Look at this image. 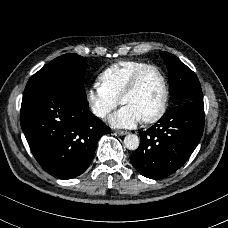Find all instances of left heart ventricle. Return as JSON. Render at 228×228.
Wrapping results in <instances>:
<instances>
[{
	"mask_svg": "<svg viewBox=\"0 0 228 228\" xmlns=\"http://www.w3.org/2000/svg\"><path fill=\"white\" fill-rule=\"evenodd\" d=\"M163 101V81L155 70H151L142 78L137 90L125 99L124 106L131 107L144 119L156 114Z\"/></svg>",
	"mask_w": 228,
	"mask_h": 228,
	"instance_id": "1",
	"label": "left heart ventricle"
}]
</instances>
